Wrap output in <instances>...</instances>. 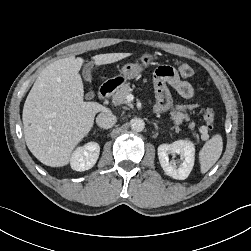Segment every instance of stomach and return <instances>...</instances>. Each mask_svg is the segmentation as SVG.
<instances>
[{
    "instance_id": "0dacf381",
    "label": "stomach",
    "mask_w": 251,
    "mask_h": 251,
    "mask_svg": "<svg viewBox=\"0 0 251 251\" xmlns=\"http://www.w3.org/2000/svg\"><path fill=\"white\" fill-rule=\"evenodd\" d=\"M155 56L151 53H145L141 56V64L138 63H127L121 69V74L116 76L114 80L121 84L127 80L137 77L153 60Z\"/></svg>"
}]
</instances>
